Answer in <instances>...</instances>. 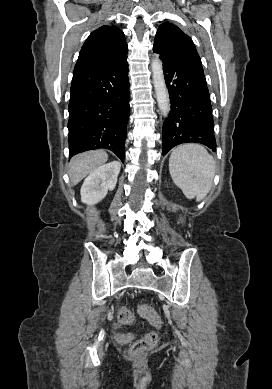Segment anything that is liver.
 <instances>
[{
	"mask_svg": "<svg viewBox=\"0 0 272 389\" xmlns=\"http://www.w3.org/2000/svg\"><path fill=\"white\" fill-rule=\"evenodd\" d=\"M108 160L103 150L88 151L71 159L69 176L72 185L78 184L88 174L102 166Z\"/></svg>",
	"mask_w": 272,
	"mask_h": 389,
	"instance_id": "1",
	"label": "liver"
}]
</instances>
